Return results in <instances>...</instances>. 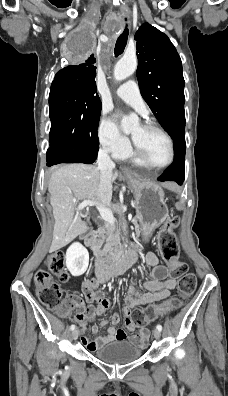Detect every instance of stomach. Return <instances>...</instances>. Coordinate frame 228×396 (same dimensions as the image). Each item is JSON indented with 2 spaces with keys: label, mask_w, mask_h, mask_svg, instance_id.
<instances>
[{
  "label": "stomach",
  "mask_w": 228,
  "mask_h": 396,
  "mask_svg": "<svg viewBox=\"0 0 228 396\" xmlns=\"http://www.w3.org/2000/svg\"><path fill=\"white\" fill-rule=\"evenodd\" d=\"M124 179L135 197L136 217L140 223L142 235L148 237L168 216L164 191L158 184L144 181L137 176H126Z\"/></svg>",
  "instance_id": "obj_1"
}]
</instances>
